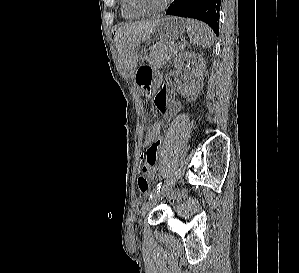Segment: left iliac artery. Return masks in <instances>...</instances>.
Instances as JSON below:
<instances>
[{"label": "left iliac artery", "mask_w": 299, "mask_h": 273, "mask_svg": "<svg viewBox=\"0 0 299 273\" xmlns=\"http://www.w3.org/2000/svg\"><path fill=\"white\" fill-rule=\"evenodd\" d=\"M162 186H163L162 182L158 183L157 187L152 191V193L150 195V198H152L153 196H155L156 193L160 192Z\"/></svg>", "instance_id": "obj_1"}]
</instances>
